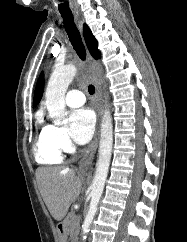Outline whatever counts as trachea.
I'll return each mask as SVG.
<instances>
[{
    "instance_id": "1",
    "label": "trachea",
    "mask_w": 187,
    "mask_h": 242,
    "mask_svg": "<svg viewBox=\"0 0 187 242\" xmlns=\"http://www.w3.org/2000/svg\"><path fill=\"white\" fill-rule=\"evenodd\" d=\"M60 13L63 18L64 27L70 39L71 44L74 50L76 51L77 55L79 56V58L84 61L86 59V50L83 45L79 30L77 29L74 23L73 14L71 12H60ZM88 92L91 95L94 94L95 87L93 85H89Z\"/></svg>"
}]
</instances>
